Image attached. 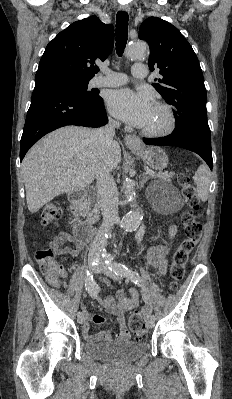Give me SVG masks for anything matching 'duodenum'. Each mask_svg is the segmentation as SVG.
<instances>
[{"label": "duodenum", "instance_id": "1", "mask_svg": "<svg viewBox=\"0 0 232 399\" xmlns=\"http://www.w3.org/2000/svg\"><path fill=\"white\" fill-rule=\"evenodd\" d=\"M85 190H75L69 196L70 211L73 217V234L82 243H88L92 240L95 228L88 222L80 219L81 210L85 199Z\"/></svg>", "mask_w": 232, "mask_h": 399}]
</instances>
